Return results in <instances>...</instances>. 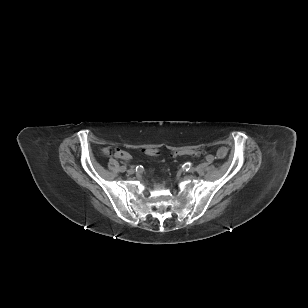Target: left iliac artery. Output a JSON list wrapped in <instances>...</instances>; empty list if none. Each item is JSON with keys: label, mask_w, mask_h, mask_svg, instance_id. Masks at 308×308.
I'll use <instances>...</instances> for the list:
<instances>
[{"label": "left iliac artery", "mask_w": 308, "mask_h": 308, "mask_svg": "<svg viewBox=\"0 0 308 308\" xmlns=\"http://www.w3.org/2000/svg\"><path fill=\"white\" fill-rule=\"evenodd\" d=\"M207 161H209V162H212V161H214V156H212V155H209V156H207Z\"/></svg>", "instance_id": "44dca946"}]
</instances>
